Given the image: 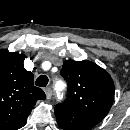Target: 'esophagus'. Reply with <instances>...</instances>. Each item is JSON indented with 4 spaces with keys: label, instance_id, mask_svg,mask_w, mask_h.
I'll return each instance as SVG.
<instances>
[{
    "label": "esophagus",
    "instance_id": "34e87169",
    "mask_svg": "<svg viewBox=\"0 0 130 130\" xmlns=\"http://www.w3.org/2000/svg\"><path fill=\"white\" fill-rule=\"evenodd\" d=\"M47 99H51L52 97V89L50 87H47L44 89Z\"/></svg>",
    "mask_w": 130,
    "mask_h": 130
}]
</instances>
